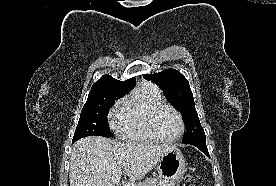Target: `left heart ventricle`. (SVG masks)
I'll return each mask as SVG.
<instances>
[{
	"label": "left heart ventricle",
	"instance_id": "1",
	"mask_svg": "<svg viewBox=\"0 0 276 186\" xmlns=\"http://www.w3.org/2000/svg\"><path fill=\"white\" fill-rule=\"evenodd\" d=\"M156 128L161 136L174 138L179 134L181 124L179 118L172 110L164 108L157 116Z\"/></svg>",
	"mask_w": 276,
	"mask_h": 186
}]
</instances>
